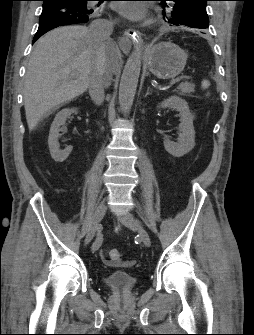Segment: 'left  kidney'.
<instances>
[{"mask_svg":"<svg viewBox=\"0 0 254 335\" xmlns=\"http://www.w3.org/2000/svg\"><path fill=\"white\" fill-rule=\"evenodd\" d=\"M158 107L163 109L169 107L179 112L181 123L179 125L180 133L177 142L164 139V147L166 151L174 157L184 156L195 146V130L188 103L177 96H171L164 100Z\"/></svg>","mask_w":254,"mask_h":335,"instance_id":"left-kidney-1","label":"left kidney"}]
</instances>
